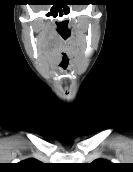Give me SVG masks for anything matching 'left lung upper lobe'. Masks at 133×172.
I'll list each match as a JSON object with an SVG mask.
<instances>
[{"label": "left lung upper lobe", "mask_w": 133, "mask_h": 172, "mask_svg": "<svg viewBox=\"0 0 133 172\" xmlns=\"http://www.w3.org/2000/svg\"><path fill=\"white\" fill-rule=\"evenodd\" d=\"M112 164L106 160L98 159L95 160L90 164V166L95 170V171H104L106 169H109Z\"/></svg>", "instance_id": "1"}]
</instances>
